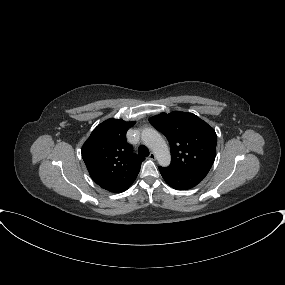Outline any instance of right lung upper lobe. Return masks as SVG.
Here are the masks:
<instances>
[{"mask_svg": "<svg viewBox=\"0 0 285 285\" xmlns=\"http://www.w3.org/2000/svg\"><path fill=\"white\" fill-rule=\"evenodd\" d=\"M134 122L109 119L99 124L82 146V158L91 178L103 189L120 193L135 181L142 161L133 154L126 133Z\"/></svg>", "mask_w": 285, "mask_h": 285, "instance_id": "obj_1", "label": "right lung upper lobe"}]
</instances>
